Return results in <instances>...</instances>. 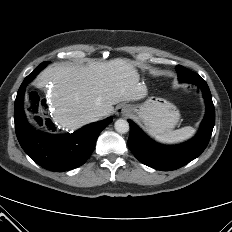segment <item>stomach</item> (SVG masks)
I'll return each mask as SVG.
<instances>
[{
    "label": "stomach",
    "mask_w": 232,
    "mask_h": 232,
    "mask_svg": "<svg viewBox=\"0 0 232 232\" xmlns=\"http://www.w3.org/2000/svg\"><path fill=\"white\" fill-rule=\"evenodd\" d=\"M132 110L153 135L170 132L180 119L178 109L158 97H150L143 104L132 106Z\"/></svg>",
    "instance_id": "0dacf381"
}]
</instances>
